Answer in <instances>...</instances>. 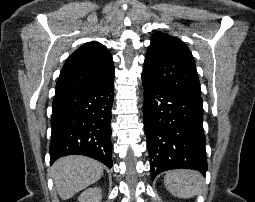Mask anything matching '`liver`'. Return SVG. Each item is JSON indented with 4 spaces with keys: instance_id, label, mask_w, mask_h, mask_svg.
I'll return each mask as SVG.
<instances>
[{
    "instance_id": "6515ba94",
    "label": "liver",
    "mask_w": 255,
    "mask_h": 202,
    "mask_svg": "<svg viewBox=\"0 0 255 202\" xmlns=\"http://www.w3.org/2000/svg\"><path fill=\"white\" fill-rule=\"evenodd\" d=\"M51 169L55 187L63 200L97 182L104 172L100 162L81 155L62 157Z\"/></svg>"
}]
</instances>
